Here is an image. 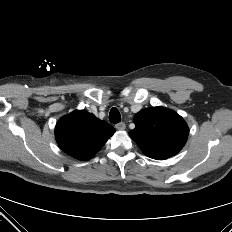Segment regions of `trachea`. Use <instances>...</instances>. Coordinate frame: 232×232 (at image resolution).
Returning a JSON list of instances; mask_svg holds the SVG:
<instances>
[{"label":"trachea","instance_id":"trachea-1","mask_svg":"<svg viewBox=\"0 0 232 232\" xmlns=\"http://www.w3.org/2000/svg\"><path fill=\"white\" fill-rule=\"evenodd\" d=\"M109 120L111 123H119L121 121V115L116 107H113L109 113Z\"/></svg>","mask_w":232,"mask_h":232}]
</instances>
